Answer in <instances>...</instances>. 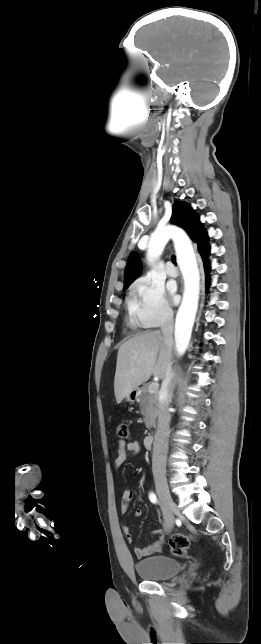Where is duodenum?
<instances>
[{
    "label": "duodenum",
    "instance_id": "410a0bca",
    "mask_svg": "<svg viewBox=\"0 0 261 644\" xmlns=\"http://www.w3.org/2000/svg\"><path fill=\"white\" fill-rule=\"evenodd\" d=\"M153 442H154V436L153 435L146 436L144 438V446H145V448L151 449L152 445H153Z\"/></svg>",
    "mask_w": 261,
    "mask_h": 644
}]
</instances>
